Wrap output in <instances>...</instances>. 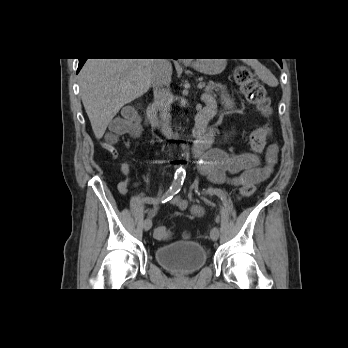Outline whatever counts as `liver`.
<instances>
[{"mask_svg": "<svg viewBox=\"0 0 348 348\" xmlns=\"http://www.w3.org/2000/svg\"><path fill=\"white\" fill-rule=\"evenodd\" d=\"M153 60L86 61L79 73L80 95L97 139L103 137L107 126L124 105L150 89Z\"/></svg>", "mask_w": 348, "mask_h": 348, "instance_id": "liver-1", "label": "liver"}]
</instances>
